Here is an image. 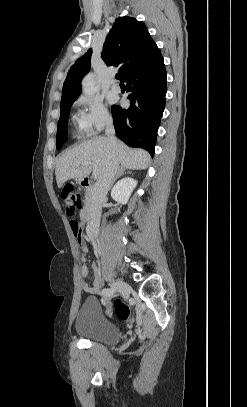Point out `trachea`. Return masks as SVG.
Wrapping results in <instances>:
<instances>
[{"instance_id": "trachea-1", "label": "trachea", "mask_w": 247, "mask_h": 407, "mask_svg": "<svg viewBox=\"0 0 247 407\" xmlns=\"http://www.w3.org/2000/svg\"><path fill=\"white\" fill-rule=\"evenodd\" d=\"M115 78H116V79H120V74H116V75H115Z\"/></svg>"}]
</instances>
